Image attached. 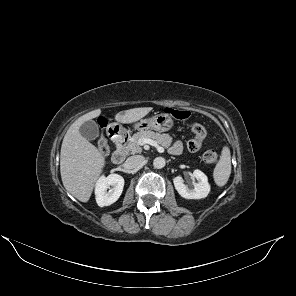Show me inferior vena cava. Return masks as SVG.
<instances>
[{"label":"inferior vena cava","instance_id":"1","mask_svg":"<svg viewBox=\"0 0 296 296\" xmlns=\"http://www.w3.org/2000/svg\"><path fill=\"white\" fill-rule=\"evenodd\" d=\"M143 160H144L143 156L135 155V156H130L126 162L130 168H136V167H139L140 165H142Z\"/></svg>","mask_w":296,"mask_h":296}]
</instances>
